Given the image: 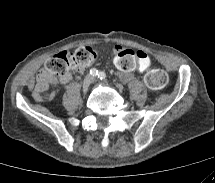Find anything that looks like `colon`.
<instances>
[{"instance_id": "colon-1", "label": "colon", "mask_w": 215, "mask_h": 183, "mask_svg": "<svg viewBox=\"0 0 215 183\" xmlns=\"http://www.w3.org/2000/svg\"><path fill=\"white\" fill-rule=\"evenodd\" d=\"M126 50L131 49L123 51ZM97 57V53L89 47H81L74 52H60L46 62L43 79H59L71 70H84L92 65ZM145 82L151 89H161L167 82V75L161 69H153L146 73Z\"/></svg>"}]
</instances>
